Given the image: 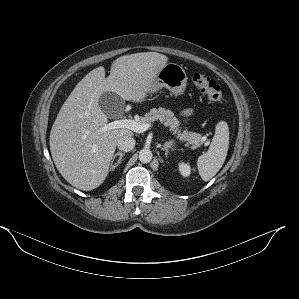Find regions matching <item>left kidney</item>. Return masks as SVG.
Wrapping results in <instances>:
<instances>
[{
	"label": "left kidney",
	"mask_w": 299,
	"mask_h": 299,
	"mask_svg": "<svg viewBox=\"0 0 299 299\" xmlns=\"http://www.w3.org/2000/svg\"><path fill=\"white\" fill-rule=\"evenodd\" d=\"M179 171L184 177L189 176L191 173L190 166L183 162L179 164Z\"/></svg>",
	"instance_id": "left-kidney-1"
}]
</instances>
